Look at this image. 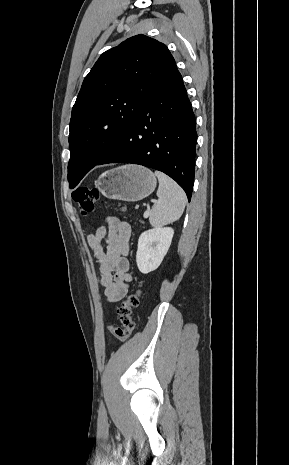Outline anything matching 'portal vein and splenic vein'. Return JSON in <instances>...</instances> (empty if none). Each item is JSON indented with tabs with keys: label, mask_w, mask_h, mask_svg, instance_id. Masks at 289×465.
<instances>
[{
	"label": "portal vein and splenic vein",
	"mask_w": 289,
	"mask_h": 465,
	"mask_svg": "<svg viewBox=\"0 0 289 465\" xmlns=\"http://www.w3.org/2000/svg\"><path fill=\"white\" fill-rule=\"evenodd\" d=\"M149 210H150V209H149V208H147V211H146V213H148V212H149Z\"/></svg>",
	"instance_id": "1"
}]
</instances>
